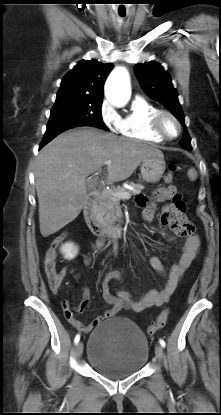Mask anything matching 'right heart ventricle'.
I'll return each mask as SVG.
<instances>
[{"mask_svg":"<svg viewBox=\"0 0 221 415\" xmlns=\"http://www.w3.org/2000/svg\"><path fill=\"white\" fill-rule=\"evenodd\" d=\"M158 108L142 97H136L129 111L119 119L118 132L125 137L149 143H162L163 138L151 129V118Z\"/></svg>","mask_w":221,"mask_h":415,"instance_id":"right-heart-ventricle-1","label":"right heart ventricle"}]
</instances>
